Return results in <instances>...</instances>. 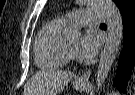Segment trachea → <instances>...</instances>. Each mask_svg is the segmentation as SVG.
Segmentation results:
<instances>
[{
  "instance_id": "obj_1",
  "label": "trachea",
  "mask_w": 135,
  "mask_h": 95,
  "mask_svg": "<svg viewBox=\"0 0 135 95\" xmlns=\"http://www.w3.org/2000/svg\"><path fill=\"white\" fill-rule=\"evenodd\" d=\"M101 26H106V24L102 23Z\"/></svg>"
}]
</instances>
